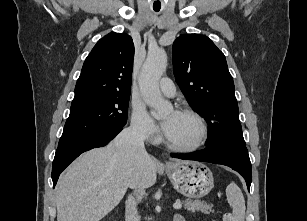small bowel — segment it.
<instances>
[{
    "mask_svg": "<svg viewBox=\"0 0 307 221\" xmlns=\"http://www.w3.org/2000/svg\"><path fill=\"white\" fill-rule=\"evenodd\" d=\"M175 221H185L183 217L181 216H176Z\"/></svg>",
    "mask_w": 307,
    "mask_h": 221,
    "instance_id": "1",
    "label": "small bowel"
}]
</instances>
